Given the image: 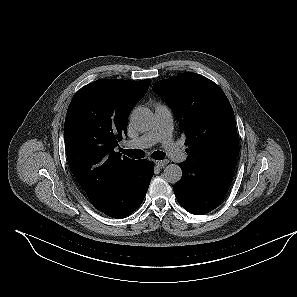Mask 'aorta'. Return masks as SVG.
<instances>
[{
    "instance_id": "obj_1",
    "label": "aorta",
    "mask_w": 297,
    "mask_h": 297,
    "mask_svg": "<svg viewBox=\"0 0 297 297\" xmlns=\"http://www.w3.org/2000/svg\"><path fill=\"white\" fill-rule=\"evenodd\" d=\"M130 122L138 130H147L153 123V114L148 108L137 107L131 112ZM163 177L167 182L175 184L181 180L182 170L177 164H169L164 169Z\"/></svg>"
}]
</instances>
